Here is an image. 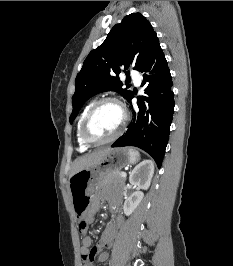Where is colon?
<instances>
[{"instance_id": "5ec220e1", "label": "colon", "mask_w": 233, "mask_h": 266, "mask_svg": "<svg viewBox=\"0 0 233 266\" xmlns=\"http://www.w3.org/2000/svg\"><path fill=\"white\" fill-rule=\"evenodd\" d=\"M79 229H80L81 232L87 230V222L84 221V220H82V221L79 223ZM84 258H85V261H86L87 263H90V262H91V259H92V255H90V254H89V255H86V256H84Z\"/></svg>"}]
</instances>
